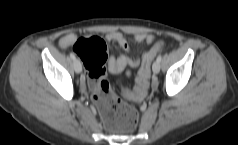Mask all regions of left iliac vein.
I'll return each instance as SVG.
<instances>
[{
    "mask_svg": "<svg viewBox=\"0 0 238 145\" xmlns=\"http://www.w3.org/2000/svg\"><path fill=\"white\" fill-rule=\"evenodd\" d=\"M152 70L154 74H158L160 71V63L155 61L152 66Z\"/></svg>",
    "mask_w": 238,
    "mask_h": 145,
    "instance_id": "left-iliac-vein-1",
    "label": "left iliac vein"
}]
</instances>
